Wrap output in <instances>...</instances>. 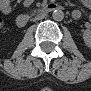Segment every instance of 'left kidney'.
<instances>
[{
    "label": "left kidney",
    "instance_id": "1",
    "mask_svg": "<svg viewBox=\"0 0 91 91\" xmlns=\"http://www.w3.org/2000/svg\"><path fill=\"white\" fill-rule=\"evenodd\" d=\"M83 39H84L85 45L90 47L91 46V31L89 29L85 30L83 34Z\"/></svg>",
    "mask_w": 91,
    "mask_h": 91
}]
</instances>
